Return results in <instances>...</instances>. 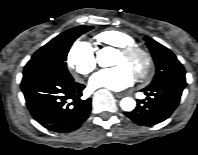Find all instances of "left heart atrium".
<instances>
[{
    "instance_id": "1",
    "label": "left heart atrium",
    "mask_w": 198,
    "mask_h": 155,
    "mask_svg": "<svg viewBox=\"0 0 198 155\" xmlns=\"http://www.w3.org/2000/svg\"><path fill=\"white\" fill-rule=\"evenodd\" d=\"M134 80L133 70L126 64H120L95 73L90 79V85L93 88H107L113 91H121L132 85Z\"/></svg>"
}]
</instances>
